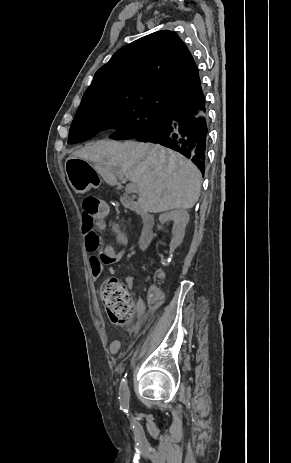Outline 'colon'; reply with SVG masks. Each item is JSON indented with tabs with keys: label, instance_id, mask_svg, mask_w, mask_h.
I'll use <instances>...</instances> for the list:
<instances>
[{
	"label": "colon",
	"instance_id": "obj_1",
	"mask_svg": "<svg viewBox=\"0 0 291 463\" xmlns=\"http://www.w3.org/2000/svg\"><path fill=\"white\" fill-rule=\"evenodd\" d=\"M105 203L96 197H86L82 202V228L92 230L97 228L99 217L106 215ZM101 298L111 321L116 324H126L133 316V302L127 288L116 278L106 279L101 286ZM163 294L159 290L150 291L148 300L151 306L162 302Z\"/></svg>",
	"mask_w": 291,
	"mask_h": 463
}]
</instances>
